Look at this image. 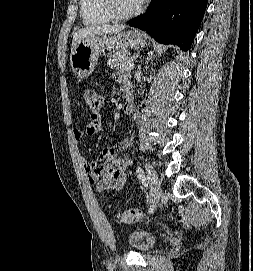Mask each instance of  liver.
<instances>
[{
	"label": "liver",
	"mask_w": 253,
	"mask_h": 271,
	"mask_svg": "<svg viewBox=\"0 0 253 271\" xmlns=\"http://www.w3.org/2000/svg\"><path fill=\"white\" fill-rule=\"evenodd\" d=\"M125 25H101V26H89L86 28L79 29L73 35L72 49L81 40L88 37L107 35L113 33H119L125 29Z\"/></svg>",
	"instance_id": "liver-1"
}]
</instances>
